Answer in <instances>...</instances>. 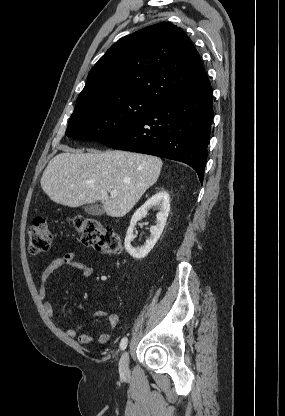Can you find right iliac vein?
<instances>
[{
  "mask_svg": "<svg viewBox=\"0 0 285 416\" xmlns=\"http://www.w3.org/2000/svg\"><path fill=\"white\" fill-rule=\"evenodd\" d=\"M120 374L127 376L129 374V353L124 351L119 362Z\"/></svg>",
  "mask_w": 285,
  "mask_h": 416,
  "instance_id": "1",
  "label": "right iliac vein"
}]
</instances>
